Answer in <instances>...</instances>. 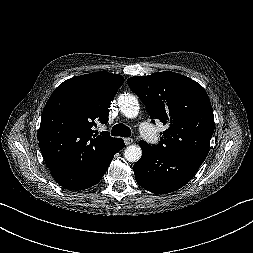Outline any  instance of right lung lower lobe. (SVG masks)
<instances>
[{
	"mask_svg": "<svg viewBox=\"0 0 253 253\" xmlns=\"http://www.w3.org/2000/svg\"><path fill=\"white\" fill-rule=\"evenodd\" d=\"M124 147L119 138L105 153L90 161L77 163L73 167L50 170L55 181L68 190H84L101 180L106 173L114 155Z\"/></svg>",
	"mask_w": 253,
	"mask_h": 253,
	"instance_id": "98d812e1",
	"label": "right lung lower lobe"
}]
</instances>
